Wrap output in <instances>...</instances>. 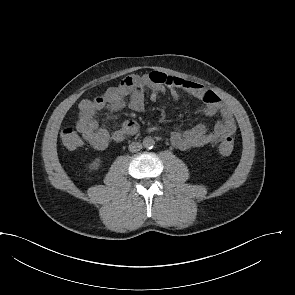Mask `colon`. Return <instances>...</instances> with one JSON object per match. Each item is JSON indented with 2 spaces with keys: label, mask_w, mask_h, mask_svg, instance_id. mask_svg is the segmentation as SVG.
I'll list each match as a JSON object with an SVG mask.
<instances>
[{
  "label": "colon",
  "mask_w": 295,
  "mask_h": 295,
  "mask_svg": "<svg viewBox=\"0 0 295 295\" xmlns=\"http://www.w3.org/2000/svg\"><path fill=\"white\" fill-rule=\"evenodd\" d=\"M61 141L63 145L70 150L78 148L82 144V139L77 132L72 127H66L61 131ZM234 148V139L232 136L225 138L220 146L219 152L221 155L227 156L232 153Z\"/></svg>",
  "instance_id": "obj_1"
}]
</instances>
